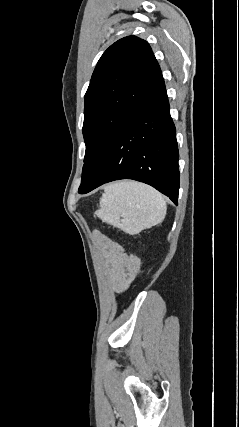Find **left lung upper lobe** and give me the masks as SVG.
Wrapping results in <instances>:
<instances>
[{
	"mask_svg": "<svg viewBox=\"0 0 239 427\" xmlns=\"http://www.w3.org/2000/svg\"><path fill=\"white\" fill-rule=\"evenodd\" d=\"M163 84L158 62L145 40L127 36L103 53L85 94L86 152L78 192L91 182L124 123Z\"/></svg>",
	"mask_w": 239,
	"mask_h": 427,
	"instance_id": "5c2ea615",
	"label": "left lung upper lobe"
}]
</instances>
